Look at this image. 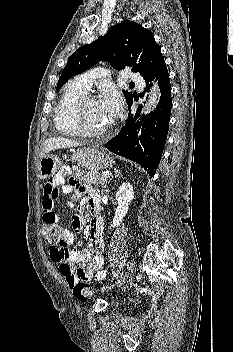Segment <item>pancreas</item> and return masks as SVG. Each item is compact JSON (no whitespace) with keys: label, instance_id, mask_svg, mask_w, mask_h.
<instances>
[{"label":"pancreas","instance_id":"pancreas-1","mask_svg":"<svg viewBox=\"0 0 233 352\" xmlns=\"http://www.w3.org/2000/svg\"><path fill=\"white\" fill-rule=\"evenodd\" d=\"M72 169L74 172V177L76 179L85 181L86 183H89V184H93L96 187L103 186L105 184V181L107 180V177H103L101 175L87 174L84 171H81L80 169H78L77 166H73Z\"/></svg>","mask_w":233,"mask_h":352}]
</instances>
